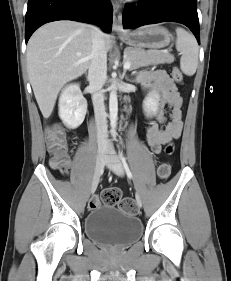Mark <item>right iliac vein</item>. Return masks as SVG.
<instances>
[{
  "instance_id": "obj_1",
  "label": "right iliac vein",
  "mask_w": 231,
  "mask_h": 281,
  "mask_svg": "<svg viewBox=\"0 0 231 281\" xmlns=\"http://www.w3.org/2000/svg\"><path fill=\"white\" fill-rule=\"evenodd\" d=\"M105 152H106L105 147H100L98 149V153H97V157H96L95 173H94V178H93L92 185H91V193H94L98 186L99 178H100L101 171H102L104 161H105L104 160Z\"/></svg>"
}]
</instances>
